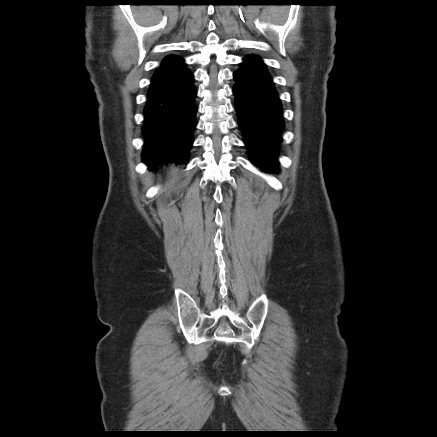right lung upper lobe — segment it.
Masks as SVG:
<instances>
[{
    "mask_svg": "<svg viewBox=\"0 0 437 437\" xmlns=\"http://www.w3.org/2000/svg\"><path fill=\"white\" fill-rule=\"evenodd\" d=\"M176 56H173V55H170V56H167L164 60H163V62H166V61H169V60H171V59H174Z\"/></svg>",
    "mask_w": 437,
    "mask_h": 437,
    "instance_id": "1",
    "label": "right lung upper lobe"
}]
</instances>
